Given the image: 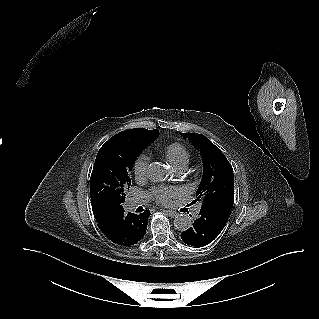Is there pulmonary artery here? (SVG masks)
<instances>
[{
  "label": "pulmonary artery",
  "instance_id": "pulmonary-artery-1",
  "mask_svg": "<svg viewBox=\"0 0 319 319\" xmlns=\"http://www.w3.org/2000/svg\"><path fill=\"white\" fill-rule=\"evenodd\" d=\"M184 169H185V168L179 169L178 172L181 173ZM137 203H138V201L134 200V201L131 202V206H135ZM199 211H200V206H197V207L195 208V212L198 213Z\"/></svg>",
  "mask_w": 319,
  "mask_h": 319
}]
</instances>
